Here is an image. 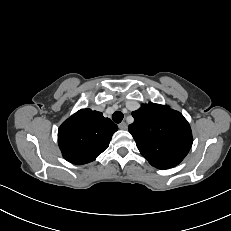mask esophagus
<instances>
[{
	"label": "esophagus",
	"mask_w": 231,
	"mask_h": 231,
	"mask_svg": "<svg viewBox=\"0 0 231 231\" xmlns=\"http://www.w3.org/2000/svg\"><path fill=\"white\" fill-rule=\"evenodd\" d=\"M118 127L121 129V130H126L127 129V124L125 122H121Z\"/></svg>",
	"instance_id": "1"
}]
</instances>
